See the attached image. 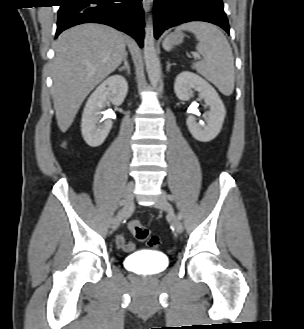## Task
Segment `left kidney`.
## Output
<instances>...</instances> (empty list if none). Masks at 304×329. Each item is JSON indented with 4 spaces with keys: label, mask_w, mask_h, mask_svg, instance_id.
<instances>
[{
    "label": "left kidney",
    "mask_w": 304,
    "mask_h": 329,
    "mask_svg": "<svg viewBox=\"0 0 304 329\" xmlns=\"http://www.w3.org/2000/svg\"><path fill=\"white\" fill-rule=\"evenodd\" d=\"M193 90L199 92V96L210 110L207 113L206 124L197 123L194 116H189L187 126L196 140L209 142L220 133L226 110L216 90L205 79L193 72H181L174 83L176 96L182 101H187L192 97Z\"/></svg>",
    "instance_id": "left-kidney-1"
}]
</instances>
